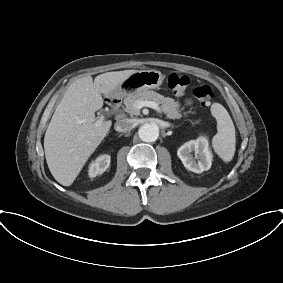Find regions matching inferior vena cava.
I'll list each match as a JSON object with an SVG mask.
<instances>
[{
	"label": "inferior vena cava",
	"instance_id": "602c4592",
	"mask_svg": "<svg viewBox=\"0 0 283 283\" xmlns=\"http://www.w3.org/2000/svg\"><path fill=\"white\" fill-rule=\"evenodd\" d=\"M133 122L131 119L122 118L115 123V130L118 132L128 131L132 128Z\"/></svg>",
	"mask_w": 283,
	"mask_h": 283
}]
</instances>
